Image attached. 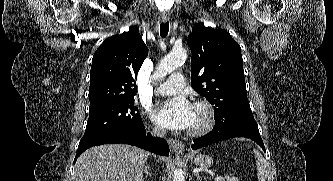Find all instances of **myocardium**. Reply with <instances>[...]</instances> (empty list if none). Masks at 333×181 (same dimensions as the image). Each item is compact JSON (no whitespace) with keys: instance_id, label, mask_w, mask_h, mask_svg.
Wrapping results in <instances>:
<instances>
[{"instance_id":"f54148a6","label":"myocardium","mask_w":333,"mask_h":181,"mask_svg":"<svg viewBox=\"0 0 333 181\" xmlns=\"http://www.w3.org/2000/svg\"><path fill=\"white\" fill-rule=\"evenodd\" d=\"M194 107L201 110L202 120L198 126L190 128L188 130V134L191 136H198L207 133L214 126L215 109L213 105L205 99H199L195 101Z\"/></svg>"}]
</instances>
